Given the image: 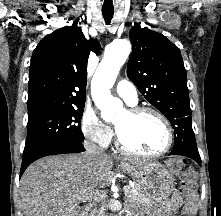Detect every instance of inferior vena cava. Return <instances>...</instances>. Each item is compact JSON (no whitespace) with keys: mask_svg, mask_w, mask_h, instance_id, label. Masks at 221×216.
I'll use <instances>...</instances> for the list:
<instances>
[{"mask_svg":"<svg viewBox=\"0 0 221 216\" xmlns=\"http://www.w3.org/2000/svg\"><path fill=\"white\" fill-rule=\"evenodd\" d=\"M85 148L87 150V154L90 157H95V156H99L101 154L104 153L103 149L101 147H98L96 144L94 143H90V142H85Z\"/></svg>","mask_w":221,"mask_h":216,"instance_id":"602c4592","label":"inferior vena cava"}]
</instances>
